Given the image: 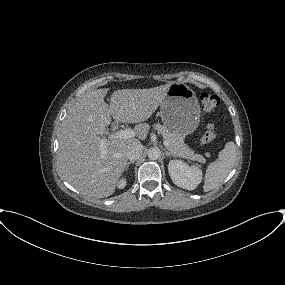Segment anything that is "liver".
<instances>
[{"label": "liver", "instance_id": "6515ba94", "mask_svg": "<svg viewBox=\"0 0 285 285\" xmlns=\"http://www.w3.org/2000/svg\"><path fill=\"white\" fill-rule=\"evenodd\" d=\"M169 82L149 89H122L104 98L108 88L85 93L68 111L61 127L58 164L63 178L87 197L105 198L115 192L127 164L129 148L147 137L148 120L166 96ZM138 123L137 138L106 139L102 153L100 134L111 123Z\"/></svg>", "mask_w": 285, "mask_h": 285}]
</instances>
